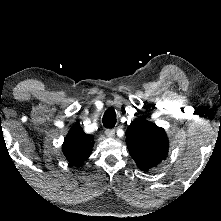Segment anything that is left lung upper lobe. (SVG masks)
Listing matches in <instances>:
<instances>
[{
    "mask_svg": "<svg viewBox=\"0 0 221 221\" xmlns=\"http://www.w3.org/2000/svg\"><path fill=\"white\" fill-rule=\"evenodd\" d=\"M125 135L129 153L139 169L148 170L166 158L169 142L163 128L137 119L131 122Z\"/></svg>",
    "mask_w": 221,
    "mask_h": 221,
    "instance_id": "obj_1",
    "label": "left lung upper lobe"
}]
</instances>
